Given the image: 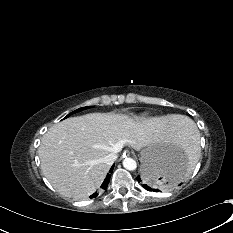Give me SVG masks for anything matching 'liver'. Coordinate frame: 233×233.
<instances>
[{
    "instance_id": "liver-1",
    "label": "liver",
    "mask_w": 233,
    "mask_h": 233,
    "mask_svg": "<svg viewBox=\"0 0 233 233\" xmlns=\"http://www.w3.org/2000/svg\"><path fill=\"white\" fill-rule=\"evenodd\" d=\"M184 119L175 112L146 119L115 113L68 118L42 137L38 150L41 169L61 195L87 198L109 171L105 156L125 144L139 151L150 142H169Z\"/></svg>"
}]
</instances>
